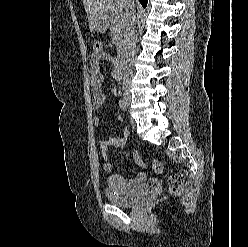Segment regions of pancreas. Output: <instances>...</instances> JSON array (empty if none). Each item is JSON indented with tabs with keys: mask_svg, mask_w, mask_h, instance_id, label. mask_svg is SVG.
<instances>
[{
	"mask_svg": "<svg viewBox=\"0 0 248 247\" xmlns=\"http://www.w3.org/2000/svg\"><path fill=\"white\" fill-rule=\"evenodd\" d=\"M110 35L116 42L118 56L123 55L126 47L127 27L122 15H115L110 18Z\"/></svg>",
	"mask_w": 248,
	"mask_h": 247,
	"instance_id": "pancreas-1",
	"label": "pancreas"
}]
</instances>
